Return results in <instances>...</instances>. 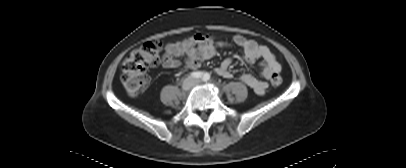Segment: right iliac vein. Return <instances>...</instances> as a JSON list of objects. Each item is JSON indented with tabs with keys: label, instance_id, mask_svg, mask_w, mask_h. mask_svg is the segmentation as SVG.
Returning <instances> with one entry per match:
<instances>
[{
	"label": "right iliac vein",
	"instance_id": "obj_1",
	"mask_svg": "<svg viewBox=\"0 0 406 168\" xmlns=\"http://www.w3.org/2000/svg\"><path fill=\"white\" fill-rule=\"evenodd\" d=\"M193 85V80L191 78H187L184 80V82L182 83V89L183 91H188L190 90V88Z\"/></svg>",
	"mask_w": 406,
	"mask_h": 168
}]
</instances>
